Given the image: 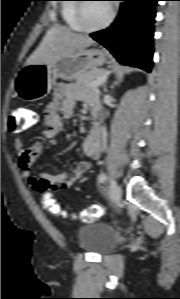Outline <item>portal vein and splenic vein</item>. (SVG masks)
<instances>
[{"mask_svg":"<svg viewBox=\"0 0 180 299\" xmlns=\"http://www.w3.org/2000/svg\"><path fill=\"white\" fill-rule=\"evenodd\" d=\"M107 75L108 72L105 73L104 75L98 77L91 85L92 89H96L97 87H99L100 85H102L103 83H105L106 79H107Z\"/></svg>","mask_w":180,"mask_h":299,"instance_id":"portal-vein-and-splenic-vein-1","label":"portal vein and splenic vein"}]
</instances>
